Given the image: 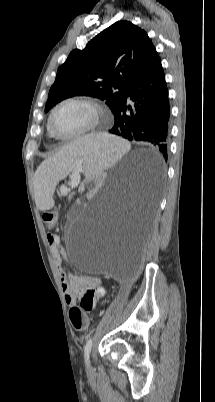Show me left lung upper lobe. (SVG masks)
<instances>
[{"label": "left lung upper lobe", "instance_id": "1", "mask_svg": "<svg viewBox=\"0 0 215 402\" xmlns=\"http://www.w3.org/2000/svg\"><path fill=\"white\" fill-rule=\"evenodd\" d=\"M158 58L143 29L128 21H118L95 36L84 49L69 54L57 71L45 112L78 95L105 100L114 112L130 83Z\"/></svg>", "mask_w": 215, "mask_h": 402}]
</instances>
